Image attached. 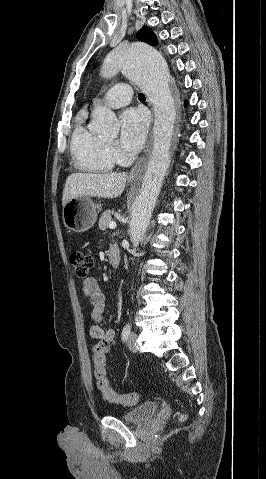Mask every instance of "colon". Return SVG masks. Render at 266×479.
Wrapping results in <instances>:
<instances>
[{"mask_svg":"<svg viewBox=\"0 0 266 479\" xmlns=\"http://www.w3.org/2000/svg\"><path fill=\"white\" fill-rule=\"evenodd\" d=\"M70 262L75 269L76 275L80 278H86L88 276L93 263L90 255L79 250L71 253ZM108 349L109 344L106 341H100L94 347L93 365L97 389L109 403L123 406L135 405L140 399L139 393L130 392L119 394L110 384L107 371ZM185 418L186 416L184 414L179 416L180 420H184Z\"/></svg>","mask_w":266,"mask_h":479,"instance_id":"obj_1","label":"colon"}]
</instances>
